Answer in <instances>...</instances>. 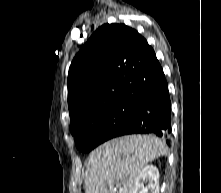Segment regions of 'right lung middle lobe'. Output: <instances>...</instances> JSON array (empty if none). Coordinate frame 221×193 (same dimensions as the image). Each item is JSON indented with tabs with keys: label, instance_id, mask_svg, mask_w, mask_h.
<instances>
[{
	"label": "right lung middle lobe",
	"instance_id": "dd1d6c3e",
	"mask_svg": "<svg viewBox=\"0 0 221 193\" xmlns=\"http://www.w3.org/2000/svg\"><path fill=\"white\" fill-rule=\"evenodd\" d=\"M140 107L141 99H122L80 120L71 132L77 136L76 147L82 152H89L111 139L119 129L133 120Z\"/></svg>",
	"mask_w": 221,
	"mask_h": 193
}]
</instances>
